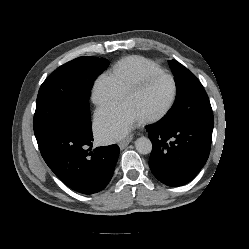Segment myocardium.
<instances>
[{
    "instance_id": "myocardium-1",
    "label": "myocardium",
    "mask_w": 249,
    "mask_h": 249,
    "mask_svg": "<svg viewBox=\"0 0 249 249\" xmlns=\"http://www.w3.org/2000/svg\"><path fill=\"white\" fill-rule=\"evenodd\" d=\"M158 77H165L171 81V83H172L171 97H170L169 101L167 102V104L160 111H158L152 115L140 118V120L142 122H153V121L159 120L162 117H164L171 110V108L173 107V105L176 101L177 92H178L177 83H176L175 78L171 74L163 72V71L148 73V74H145L142 77H140L138 80H136L134 83H132L125 90L124 98H126L127 96L141 90L151 80L158 78Z\"/></svg>"
}]
</instances>
